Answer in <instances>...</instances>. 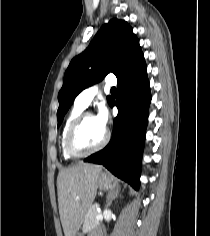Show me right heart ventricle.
Wrapping results in <instances>:
<instances>
[{
  "label": "right heart ventricle",
  "instance_id": "right-heart-ventricle-1",
  "mask_svg": "<svg viewBox=\"0 0 210 236\" xmlns=\"http://www.w3.org/2000/svg\"><path fill=\"white\" fill-rule=\"evenodd\" d=\"M83 109L84 108H82L81 106H79L75 103L73 109L71 110L70 114L68 115V117L63 125L62 131H61V137H60V146H61L62 155H63L64 159H66V160H71L74 158L67 153L66 148H65V138H66L67 130H68L70 124L72 123V121L80 113H82Z\"/></svg>",
  "mask_w": 210,
  "mask_h": 236
}]
</instances>
